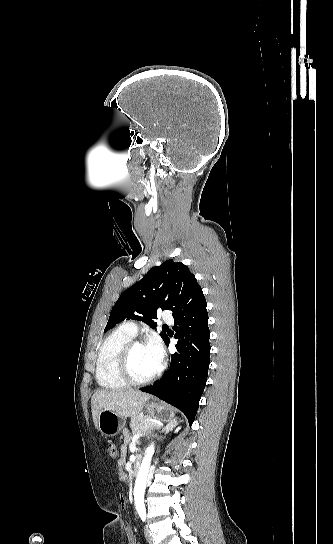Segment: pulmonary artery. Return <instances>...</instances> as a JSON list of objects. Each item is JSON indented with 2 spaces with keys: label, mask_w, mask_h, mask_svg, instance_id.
I'll list each match as a JSON object with an SVG mask.
<instances>
[{
  "label": "pulmonary artery",
  "mask_w": 333,
  "mask_h": 544,
  "mask_svg": "<svg viewBox=\"0 0 333 544\" xmlns=\"http://www.w3.org/2000/svg\"><path fill=\"white\" fill-rule=\"evenodd\" d=\"M163 320L167 323H172L173 322V317L166 313L164 316H163ZM122 327L127 330L130 334L132 335H136L137 332H138V326L137 324L134 322V321H128V322H125Z\"/></svg>",
  "instance_id": "e3ab8cb5"
}]
</instances>
